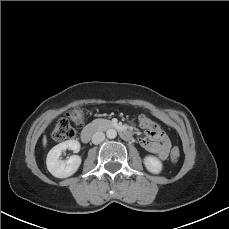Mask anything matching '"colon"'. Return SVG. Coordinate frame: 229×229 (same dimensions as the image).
<instances>
[{
	"instance_id": "colon-1",
	"label": "colon",
	"mask_w": 229,
	"mask_h": 229,
	"mask_svg": "<svg viewBox=\"0 0 229 229\" xmlns=\"http://www.w3.org/2000/svg\"><path fill=\"white\" fill-rule=\"evenodd\" d=\"M68 118L76 125H81L84 120V111L82 108H73L68 114ZM75 136V130L71 126L70 122L66 118H61L55 124L52 131V140L55 142H62L72 139ZM180 150L178 147H174L171 151L170 159L176 163L180 159Z\"/></svg>"
}]
</instances>
